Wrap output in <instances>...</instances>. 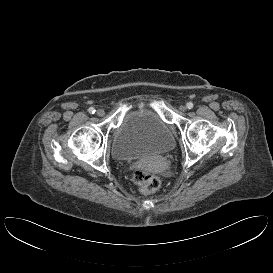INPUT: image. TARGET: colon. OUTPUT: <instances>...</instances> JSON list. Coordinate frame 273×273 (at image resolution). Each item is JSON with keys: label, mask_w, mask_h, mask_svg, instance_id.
Here are the masks:
<instances>
[{"label": "colon", "mask_w": 273, "mask_h": 273, "mask_svg": "<svg viewBox=\"0 0 273 273\" xmlns=\"http://www.w3.org/2000/svg\"><path fill=\"white\" fill-rule=\"evenodd\" d=\"M132 181L139 187L143 194H152L159 189L161 179L145 170L136 169L132 174Z\"/></svg>", "instance_id": "colon-1"}]
</instances>
